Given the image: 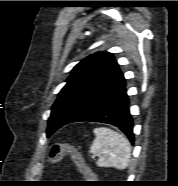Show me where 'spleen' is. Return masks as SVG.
<instances>
[{"mask_svg": "<svg viewBox=\"0 0 178 186\" xmlns=\"http://www.w3.org/2000/svg\"><path fill=\"white\" fill-rule=\"evenodd\" d=\"M94 134L90 153L98 156L96 164L99 167L126 169L131 158V144L128 139L105 127L95 128Z\"/></svg>", "mask_w": 178, "mask_h": 186, "instance_id": "obj_1", "label": "spleen"}]
</instances>
